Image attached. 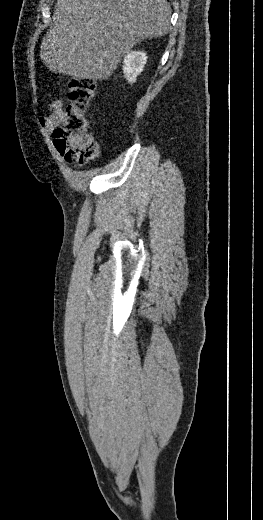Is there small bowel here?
Returning <instances> with one entry per match:
<instances>
[{"instance_id": "obj_1", "label": "small bowel", "mask_w": 263, "mask_h": 520, "mask_svg": "<svg viewBox=\"0 0 263 520\" xmlns=\"http://www.w3.org/2000/svg\"><path fill=\"white\" fill-rule=\"evenodd\" d=\"M63 117L64 111L62 108V101L56 100L51 104V113L48 116L40 117L39 121L46 133H52L62 122Z\"/></svg>"}]
</instances>
